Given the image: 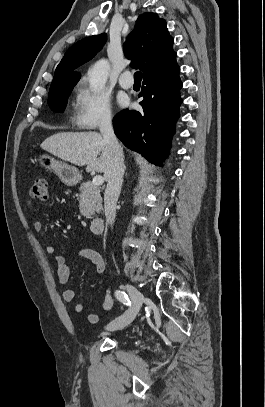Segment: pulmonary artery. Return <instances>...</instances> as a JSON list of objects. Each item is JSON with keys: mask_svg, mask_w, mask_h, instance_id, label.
<instances>
[{"mask_svg": "<svg viewBox=\"0 0 265 407\" xmlns=\"http://www.w3.org/2000/svg\"><path fill=\"white\" fill-rule=\"evenodd\" d=\"M131 73L129 71H125L119 77V85L124 89H130L133 86V80L130 79Z\"/></svg>", "mask_w": 265, "mask_h": 407, "instance_id": "obj_1", "label": "pulmonary artery"}]
</instances>
